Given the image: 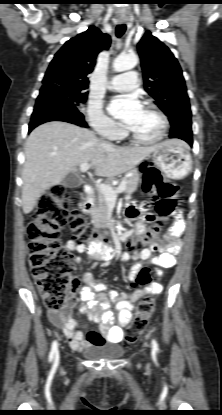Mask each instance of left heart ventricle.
Listing matches in <instances>:
<instances>
[{
  "instance_id": "1",
  "label": "left heart ventricle",
  "mask_w": 222,
  "mask_h": 415,
  "mask_svg": "<svg viewBox=\"0 0 222 415\" xmlns=\"http://www.w3.org/2000/svg\"><path fill=\"white\" fill-rule=\"evenodd\" d=\"M161 126L158 115L152 110L142 107L139 114L127 127L143 139H153L159 134Z\"/></svg>"
}]
</instances>
